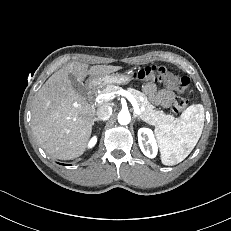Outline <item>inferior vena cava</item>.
<instances>
[{
    "instance_id": "1",
    "label": "inferior vena cava",
    "mask_w": 231,
    "mask_h": 231,
    "mask_svg": "<svg viewBox=\"0 0 231 231\" xmlns=\"http://www.w3.org/2000/svg\"><path fill=\"white\" fill-rule=\"evenodd\" d=\"M96 115L98 120H108L112 115V108L108 105H101L97 108Z\"/></svg>"
}]
</instances>
